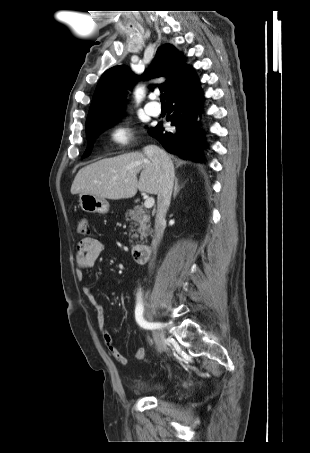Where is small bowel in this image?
<instances>
[{"label": "small bowel", "mask_w": 310, "mask_h": 453, "mask_svg": "<svg viewBox=\"0 0 310 453\" xmlns=\"http://www.w3.org/2000/svg\"><path fill=\"white\" fill-rule=\"evenodd\" d=\"M102 251L103 243L97 238L88 236L79 240L75 248L76 276L78 280H82L84 272L94 266ZM83 292L95 309L97 324L109 353L118 363L126 365L128 363V359L114 344L112 335L106 326L104 308L98 302L93 289L89 286H85L83 288ZM145 355L146 350L142 347L135 351V358L137 360H143Z\"/></svg>", "instance_id": "1"}]
</instances>
